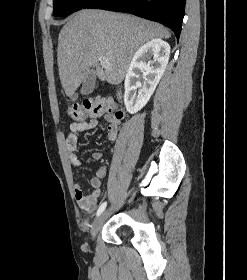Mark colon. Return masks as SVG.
<instances>
[{
	"label": "colon",
	"mask_w": 247,
	"mask_h": 280,
	"mask_svg": "<svg viewBox=\"0 0 247 280\" xmlns=\"http://www.w3.org/2000/svg\"><path fill=\"white\" fill-rule=\"evenodd\" d=\"M67 115L74 121H83L87 117L113 115L123 117V112L116 108L115 103L108 98L85 99L82 103H72L67 108Z\"/></svg>",
	"instance_id": "1"
}]
</instances>
